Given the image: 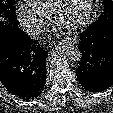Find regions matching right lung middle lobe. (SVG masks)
<instances>
[{"label":"right lung middle lobe","instance_id":"1","mask_svg":"<svg viewBox=\"0 0 113 113\" xmlns=\"http://www.w3.org/2000/svg\"><path fill=\"white\" fill-rule=\"evenodd\" d=\"M14 3L15 0H0V14H3L6 20L0 23V35L4 34L11 26L18 25Z\"/></svg>","mask_w":113,"mask_h":113}]
</instances>
